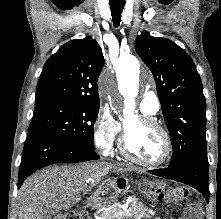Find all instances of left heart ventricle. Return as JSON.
I'll list each match as a JSON object with an SVG mask.
<instances>
[{
    "label": "left heart ventricle",
    "mask_w": 221,
    "mask_h": 219,
    "mask_svg": "<svg viewBox=\"0 0 221 219\" xmlns=\"http://www.w3.org/2000/svg\"><path fill=\"white\" fill-rule=\"evenodd\" d=\"M125 139L129 150L142 160L155 161L163 154L164 141L161 133L142 124L138 118L129 119L125 123Z\"/></svg>",
    "instance_id": "1"
}]
</instances>
